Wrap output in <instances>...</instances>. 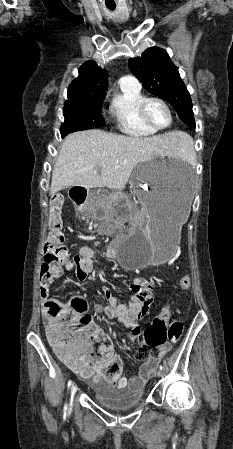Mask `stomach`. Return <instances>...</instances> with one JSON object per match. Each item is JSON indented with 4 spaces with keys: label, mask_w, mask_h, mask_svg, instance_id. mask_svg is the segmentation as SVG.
Returning a JSON list of instances; mask_svg holds the SVG:
<instances>
[{
    "label": "stomach",
    "mask_w": 233,
    "mask_h": 449,
    "mask_svg": "<svg viewBox=\"0 0 233 449\" xmlns=\"http://www.w3.org/2000/svg\"><path fill=\"white\" fill-rule=\"evenodd\" d=\"M130 187L145 207V217L116 246L117 258L124 269H141L156 263L167 262L175 253L180 228L190 214L195 200L193 175L188 164L179 160H148L138 164L131 176ZM117 194L92 198L84 206L91 218L102 220L110 215L103 199H116ZM112 210H119L121 203L112 201ZM121 212H113L111 219H124Z\"/></svg>",
    "instance_id": "1"
}]
</instances>
